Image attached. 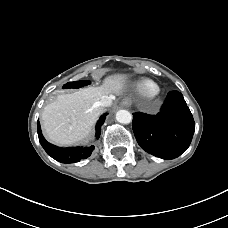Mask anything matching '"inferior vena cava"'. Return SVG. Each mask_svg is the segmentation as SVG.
I'll return each instance as SVG.
<instances>
[{"label":"inferior vena cava","mask_w":228,"mask_h":228,"mask_svg":"<svg viewBox=\"0 0 228 228\" xmlns=\"http://www.w3.org/2000/svg\"><path fill=\"white\" fill-rule=\"evenodd\" d=\"M114 98L112 96H107L105 98H102L100 101L97 102L98 106L101 107H109L112 104V100Z\"/></svg>","instance_id":"1"}]
</instances>
